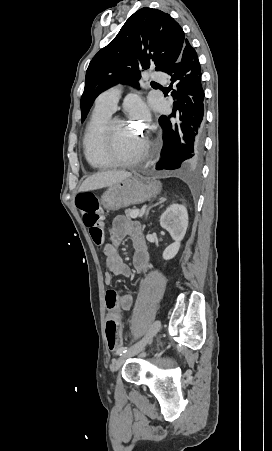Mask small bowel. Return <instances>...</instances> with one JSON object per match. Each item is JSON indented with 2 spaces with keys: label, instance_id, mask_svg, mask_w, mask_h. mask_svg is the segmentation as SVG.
Here are the masks:
<instances>
[{
  "label": "small bowel",
  "instance_id": "small-bowel-1",
  "mask_svg": "<svg viewBox=\"0 0 272 451\" xmlns=\"http://www.w3.org/2000/svg\"><path fill=\"white\" fill-rule=\"evenodd\" d=\"M107 230L110 242L103 245V253L106 257V267L108 269L104 275V282L106 284L112 282V274L130 276L133 273H147L151 270L152 263L139 222L127 219L124 216H117L109 224ZM126 236L131 239L134 248L132 258L133 269H130L123 261L118 251L119 244ZM105 305L109 311V315L113 316L120 325L122 312L132 308L133 298L129 294L108 290L105 296ZM121 330L122 328L119 326V334Z\"/></svg>",
  "mask_w": 272,
  "mask_h": 451
}]
</instances>
